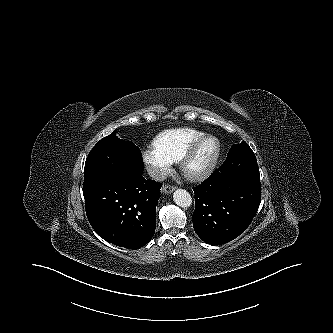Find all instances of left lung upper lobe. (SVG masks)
<instances>
[{"instance_id":"1","label":"left lung upper lobe","mask_w":333,"mask_h":333,"mask_svg":"<svg viewBox=\"0 0 333 333\" xmlns=\"http://www.w3.org/2000/svg\"><path fill=\"white\" fill-rule=\"evenodd\" d=\"M241 157L245 159H241ZM224 163L229 164V168L235 174L260 180L255 154L245 141L230 148Z\"/></svg>"}]
</instances>
